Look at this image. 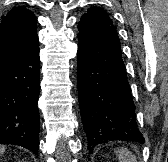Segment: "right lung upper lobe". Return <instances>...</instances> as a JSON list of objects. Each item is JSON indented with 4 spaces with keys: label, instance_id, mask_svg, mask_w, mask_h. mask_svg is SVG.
Wrapping results in <instances>:
<instances>
[{
    "label": "right lung upper lobe",
    "instance_id": "obj_1",
    "mask_svg": "<svg viewBox=\"0 0 168 162\" xmlns=\"http://www.w3.org/2000/svg\"><path fill=\"white\" fill-rule=\"evenodd\" d=\"M37 20L27 8L15 7L0 24V66L39 47Z\"/></svg>",
    "mask_w": 168,
    "mask_h": 162
}]
</instances>
